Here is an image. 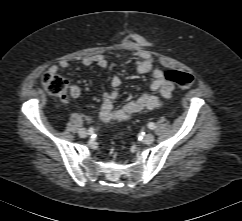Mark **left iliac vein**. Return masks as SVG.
I'll list each match as a JSON object with an SVG mask.
<instances>
[{"label": "left iliac vein", "mask_w": 242, "mask_h": 221, "mask_svg": "<svg viewBox=\"0 0 242 221\" xmlns=\"http://www.w3.org/2000/svg\"><path fill=\"white\" fill-rule=\"evenodd\" d=\"M154 140H155V137H154V135H152V134H146L144 137H143V140H142V142L144 143V144H151V143H153L154 142Z\"/></svg>", "instance_id": "left-iliac-vein-1"}]
</instances>
